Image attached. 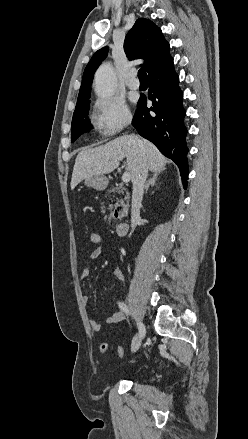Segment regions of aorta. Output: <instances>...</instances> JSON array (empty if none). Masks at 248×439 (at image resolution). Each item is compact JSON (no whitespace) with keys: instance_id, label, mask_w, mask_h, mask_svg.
<instances>
[{"instance_id":"obj_1","label":"aorta","mask_w":248,"mask_h":439,"mask_svg":"<svg viewBox=\"0 0 248 439\" xmlns=\"http://www.w3.org/2000/svg\"><path fill=\"white\" fill-rule=\"evenodd\" d=\"M116 73L109 63L101 65L95 74V92L102 99H109L116 88Z\"/></svg>"}]
</instances>
